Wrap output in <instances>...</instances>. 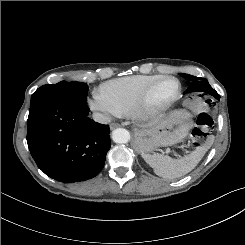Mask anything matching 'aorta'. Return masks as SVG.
Instances as JSON below:
<instances>
[{
    "label": "aorta",
    "mask_w": 245,
    "mask_h": 245,
    "mask_svg": "<svg viewBox=\"0 0 245 245\" xmlns=\"http://www.w3.org/2000/svg\"><path fill=\"white\" fill-rule=\"evenodd\" d=\"M112 139L115 143L125 144L130 140V133L124 128H117L112 132Z\"/></svg>",
    "instance_id": "762f6f07"
}]
</instances>
